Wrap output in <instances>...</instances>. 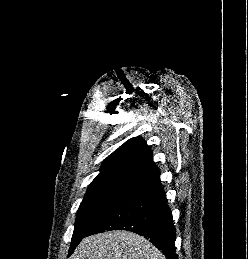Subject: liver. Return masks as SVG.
Listing matches in <instances>:
<instances>
[{
  "label": "liver",
  "instance_id": "1",
  "mask_svg": "<svg viewBox=\"0 0 248 259\" xmlns=\"http://www.w3.org/2000/svg\"><path fill=\"white\" fill-rule=\"evenodd\" d=\"M73 259H166L143 236L129 231H110L84 238Z\"/></svg>",
  "mask_w": 248,
  "mask_h": 259
}]
</instances>
